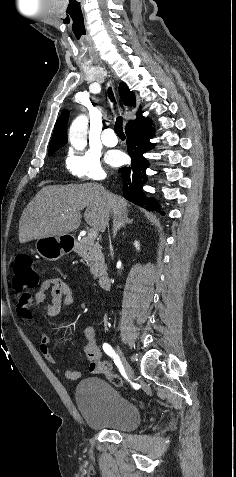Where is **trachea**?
<instances>
[{
    "instance_id": "obj_1",
    "label": "trachea",
    "mask_w": 236,
    "mask_h": 477,
    "mask_svg": "<svg viewBox=\"0 0 236 477\" xmlns=\"http://www.w3.org/2000/svg\"><path fill=\"white\" fill-rule=\"evenodd\" d=\"M108 96H109L111 102H115V97L113 95V92H112L111 88L108 89ZM114 130H115V133L119 137L125 138V134L123 132V120H122L121 116H117Z\"/></svg>"
}]
</instances>
